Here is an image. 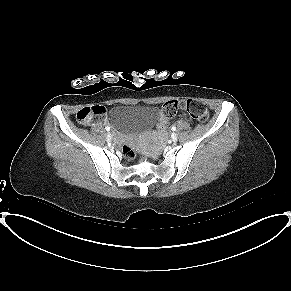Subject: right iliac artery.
Returning a JSON list of instances; mask_svg holds the SVG:
<instances>
[{
  "instance_id": "1",
  "label": "right iliac artery",
  "mask_w": 291,
  "mask_h": 291,
  "mask_svg": "<svg viewBox=\"0 0 291 291\" xmlns=\"http://www.w3.org/2000/svg\"><path fill=\"white\" fill-rule=\"evenodd\" d=\"M105 129H106L107 131H109V130H110V128H109L108 126H106V127H105Z\"/></svg>"
}]
</instances>
